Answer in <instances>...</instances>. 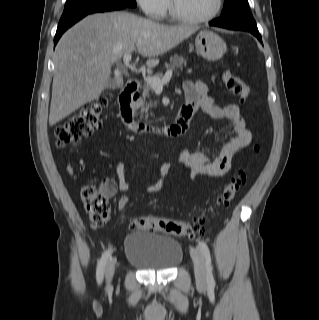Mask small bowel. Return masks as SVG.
Listing matches in <instances>:
<instances>
[{
	"instance_id": "1",
	"label": "small bowel",
	"mask_w": 319,
	"mask_h": 320,
	"mask_svg": "<svg viewBox=\"0 0 319 320\" xmlns=\"http://www.w3.org/2000/svg\"><path fill=\"white\" fill-rule=\"evenodd\" d=\"M185 94V105L182 108L203 111L213 119H227L232 123L231 136L225 141L221 148L213 155H208L201 151H191L183 147L177 154L178 162L188 169L192 180L200 176L220 177L230 168L232 157L250 145L252 134L247 128V122L241 115L240 107L236 104L225 106L217 105L209 94L208 86L203 82H189L183 84ZM111 165L116 171L117 187L120 191L126 192L130 189V184L126 181L123 166L120 161L112 159ZM66 169L71 176H75V171L70 163ZM167 163L159 165V175L156 181L146 189L148 194H155L160 191L163 177L169 171ZM127 200V202H124ZM129 204L127 197H121L118 201V208L124 210Z\"/></svg>"
}]
</instances>
